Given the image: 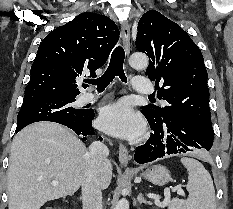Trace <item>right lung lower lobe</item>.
Returning a JSON list of instances; mask_svg holds the SVG:
<instances>
[{
	"mask_svg": "<svg viewBox=\"0 0 233 209\" xmlns=\"http://www.w3.org/2000/svg\"><path fill=\"white\" fill-rule=\"evenodd\" d=\"M94 112L92 110H86L84 116L74 122L64 123L70 129H72L77 135H80L82 140H86L89 135H94V130L92 128V120L94 119ZM25 126H17L16 133H18ZM100 140L102 138H99Z\"/></svg>",
	"mask_w": 233,
	"mask_h": 209,
	"instance_id": "obj_1",
	"label": "right lung lower lobe"
}]
</instances>
